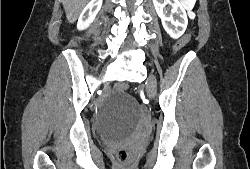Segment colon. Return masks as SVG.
I'll return each instance as SVG.
<instances>
[{
	"instance_id": "obj_1",
	"label": "colon",
	"mask_w": 250,
	"mask_h": 169,
	"mask_svg": "<svg viewBox=\"0 0 250 169\" xmlns=\"http://www.w3.org/2000/svg\"><path fill=\"white\" fill-rule=\"evenodd\" d=\"M189 35H183L176 44H172V49H170V54H177V52L182 49L185 44H189ZM121 90H128V85H121ZM116 160H120V166H133V161H131V155H129V150H116Z\"/></svg>"
}]
</instances>
